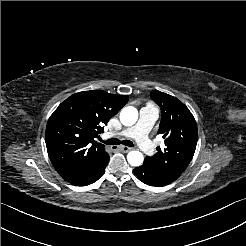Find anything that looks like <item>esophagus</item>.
I'll list each match as a JSON object with an SVG mask.
<instances>
[{
	"instance_id": "1",
	"label": "esophagus",
	"mask_w": 246,
	"mask_h": 246,
	"mask_svg": "<svg viewBox=\"0 0 246 246\" xmlns=\"http://www.w3.org/2000/svg\"><path fill=\"white\" fill-rule=\"evenodd\" d=\"M132 148L128 147V146H120L118 148L119 151L123 152V153H127L129 151H131Z\"/></svg>"
}]
</instances>
